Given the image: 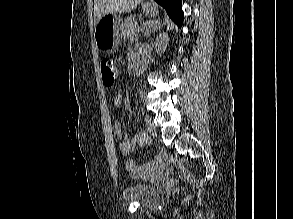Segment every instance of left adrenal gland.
<instances>
[{
	"instance_id": "1",
	"label": "left adrenal gland",
	"mask_w": 293,
	"mask_h": 219,
	"mask_svg": "<svg viewBox=\"0 0 293 219\" xmlns=\"http://www.w3.org/2000/svg\"><path fill=\"white\" fill-rule=\"evenodd\" d=\"M158 26H159V20L153 21L151 23V26L147 30V37H149V35L151 34V32H155L158 29Z\"/></svg>"
}]
</instances>
